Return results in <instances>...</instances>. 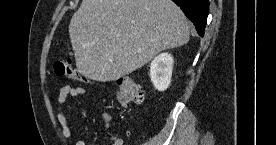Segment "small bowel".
<instances>
[{"instance_id": "obj_1", "label": "small bowel", "mask_w": 276, "mask_h": 145, "mask_svg": "<svg viewBox=\"0 0 276 145\" xmlns=\"http://www.w3.org/2000/svg\"><path fill=\"white\" fill-rule=\"evenodd\" d=\"M86 91H87L86 88L82 86L73 87L70 85H66L61 88L58 94L57 101L55 104L56 117L58 122L62 126V134L66 138H69L71 136L72 130L64 110V104L67 102V100L70 97L82 96L86 93ZM102 119L104 123V128L107 131V136L110 139L112 145H123V140L109 130L111 125V116L108 114H105L103 115ZM76 145H87V143L85 141H79L77 142Z\"/></svg>"}]
</instances>
